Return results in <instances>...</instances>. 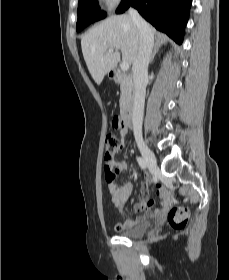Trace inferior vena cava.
Listing matches in <instances>:
<instances>
[{
    "label": "inferior vena cava",
    "instance_id": "602c4592",
    "mask_svg": "<svg viewBox=\"0 0 229 280\" xmlns=\"http://www.w3.org/2000/svg\"><path fill=\"white\" fill-rule=\"evenodd\" d=\"M129 15L139 31V51L133 62L134 104L132 113L133 132L142 134L143 111L146 85L148 83V65L152 55L154 38L149 25L139 15L137 10L130 8Z\"/></svg>",
    "mask_w": 229,
    "mask_h": 280
}]
</instances>
